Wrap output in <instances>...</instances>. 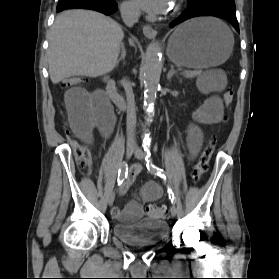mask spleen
Returning a JSON list of instances; mask_svg holds the SVG:
<instances>
[{
  "instance_id": "1",
  "label": "spleen",
  "mask_w": 279,
  "mask_h": 279,
  "mask_svg": "<svg viewBox=\"0 0 279 279\" xmlns=\"http://www.w3.org/2000/svg\"><path fill=\"white\" fill-rule=\"evenodd\" d=\"M220 24L224 27L227 33L232 34L230 29L220 22ZM220 71L211 70L206 71L201 78L197 81V86L200 90H223L226 86V78L223 75H220Z\"/></svg>"
}]
</instances>
